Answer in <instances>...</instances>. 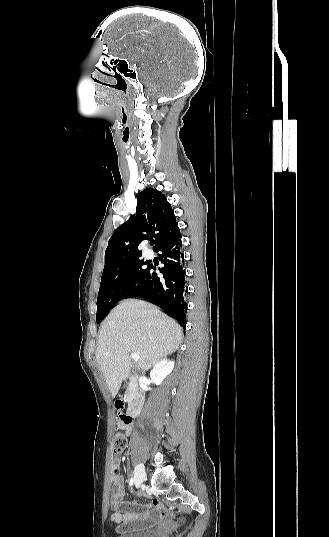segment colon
I'll use <instances>...</instances> for the list:
<instances>
[{"instance_id": "1", "label": "colon", "mask_w": 329, "mask_h": 537, "mask_svg": "<svg viewBox=\"0 0 329 537\" xmlns=\"http://www.w3.org/2000/svg\"><path fill=\"white\" fill-rule=\"evenodd\" d=\"M118 416L122 423L128 424L131 422V418L127 414H125V412L123 411H120L118 413ZM126 446H127V435L122 431L116 432L114 435V440H113L114 453L119 454L123 452Z\"/></svg>"}]
</instances>
